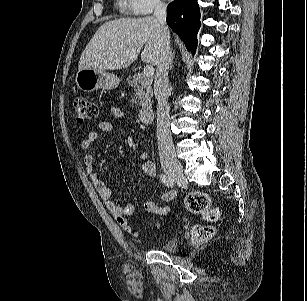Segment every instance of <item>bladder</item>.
Masks as SVG:
<instances>
[{
	"mask_svg": "<svg viewBox=\"0 0 307 301\" xmlns=\"http://www.w3.org/2000/svg\"><path fill=\"white\" fill-rule=\"evenodd\" d=\"M177 244H178L177 238L174 237L169 238L162 242V244L160 245V250L166 252L173 251L177 247Z\"/></svg>",
	"mask_w": 307,
	"mask_h": 301,
	"instance_id": "bladder-1",
	"label": "bladder"
}]
</instances>
